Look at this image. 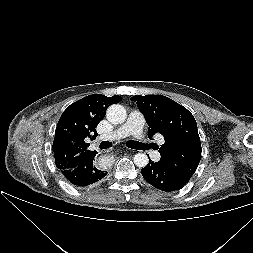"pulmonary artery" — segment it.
<instances>
[{
    "label": "pulmonary artery",
    "mask_w": 253,
    "mask_h": 253,
    "mask_svg": "<svg viewBox=\"0 0 253 253\" xmlns=\"http://www.w3.org/2000/svg\"><path fill=\"white\" fill-rule=\"evenodd\" d=\"M144 124H145L144 116L140 112L133 110L130 112L127 121L122 126H120L118 129L109 134L102 135L101 139L116 140L124 138L129 135H133L138 139H143ZM146 149L148 151L150 158L154 162H158L160 160V154L157 150L149 149L148 147Z\"/></svg>",
    "instance_id": "pulmonary-artery-1"
}]
</instances>
